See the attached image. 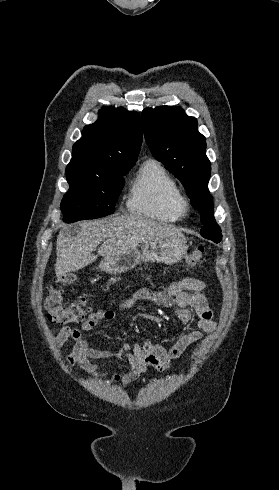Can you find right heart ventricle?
Wrapping results in <instances>:
<instances>
[{"mask_svg":"<svg viewBox=\"0 0 279 490\" xmlns=\"http://www.w3.org/2000/svg\"><path fill=\"white\" fill-rule=\"evenodd\" d=\"M184 203L179 181L161 161L150 158L140 165L130 187L132 213L160 223H177L185 217Z\"/></svg>","mask_w":279,"mask_h":490,"instance_id":"obj_1","label":"right heart ventricle"}]
</instances>
